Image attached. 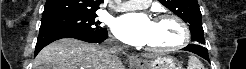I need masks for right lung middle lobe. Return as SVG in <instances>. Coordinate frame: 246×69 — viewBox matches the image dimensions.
Wrapping results in <instances>:
<instances>
[{"label": "right lung middle lobe", "mask_w": 246, "mask_h": 69, "mask_svg": "<svg viewBox=\"0 0 246 69\" xmlns=\"http://www.w3.org/2000/svg\"><path fill=\"white\" fill-rule=\"evenodd\" d=\"M96 14H58L42 17L41 30L68 29L83 32H96L101 30L100 22L95 21Z\"/></svg>", "instance_id": "1"}]
</instances>
